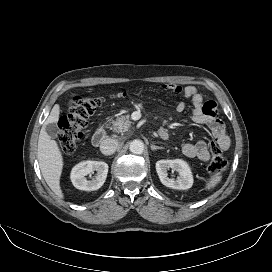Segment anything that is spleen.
Returning <instances> with one entry per match:
<instances>
[{
  "mask_svg": "<svg viewBox=\"0 0 272 272\" xmlns=\"http://www.w3.org/2000/svg\"><path fill=\"white\" fill-rule=\"evenodd\" d=\"M222 180V175L220 172H216L208 181L206 188L210 189L215 187Z\"/></svg>",
  "mask_w": 272,
  "mask_h": 272,
  "instance_id": "spleen-1",
  "label": "spleen"
}]
</instances>
